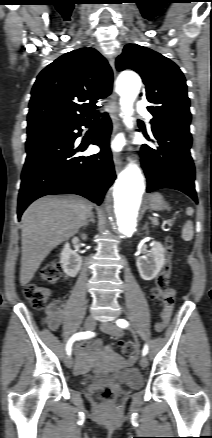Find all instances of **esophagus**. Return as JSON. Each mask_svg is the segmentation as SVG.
Masks as SVG:
<instances>
[{
	"label": "esophagus",
	"instance_id": "obj_1",
	"mask_svg": "<svg viewBox=\"0 0 212 438\" xmlns=\"http://www.w3.org/2000/svg\"><path fill=\"white\" fill-rule=\"evenodd\" d=\"M109 62H110V65H111V67L113 69V72H114V75H115V63H114V59L110 58ZM109 113H110L111 119L113 121L114 135H115L119 131L118 103H117V96H116L115 91H113L112 100H111L110 105H109ZM113 161H114L115 170L118 173L121 170V168H122L120 155L119 154H114Z\"/></svg>",
	"mask_w": 212,
	"mask_h": 438
}]
</instances>
